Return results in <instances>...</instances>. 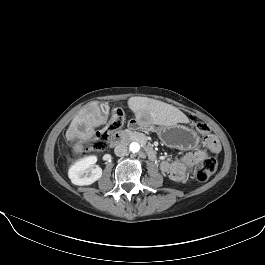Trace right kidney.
<instances>
[{
	"label": "right kidney",
	"mask_w": 265,
	"mask_h": 265,
	"mask_svg": "<svg viewBox=\"0 0 265 265\" xmlns=\"http://www.w3.org/2000/svg\"><path fill=\"white\" fill-rule=\"evenodd\" d=\"M97 161L96 156H88L72 165L68 171V176L74 185H91L102 176V169L94 166Z\"/></svg>",
	"instance_id": "right-kidney-1"
}]
</instances>
